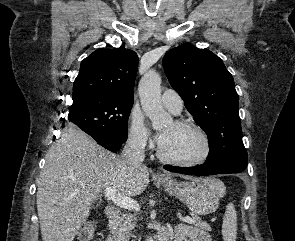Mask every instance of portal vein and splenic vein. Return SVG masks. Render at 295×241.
Returning <instances> with one entry per match:
<instances>
[{"label": "portal vein and splenic vein", "mask_w": 295, "mask_h": 241, "mask_svg": "<svg viewBox=\"0 0 295 241\" xmlns=\"http://www.w3.org/2000/svg\"><path fill=\"white\" fill-rule=\"evenodd\" d=\"M104 195L109 200H111L115 205L121 208L128 209V210H135L136 212L140 210V206L135 200H133L130 197H125V196L117 194L116 189L114 188H110V187L106 188L104 190ZM182 221L189 224L195 223V220L188 216L182 218Z\"/></svg>", "instance_id": "obj_1"}]
</instances>
